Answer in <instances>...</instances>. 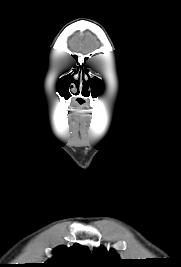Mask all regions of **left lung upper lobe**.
Wrapping results in <instances>:
<instances>
[{"mask_svg": "<svg viewBox=\"0 0 181 267\" xmlns=\"http://www.w3.org/2000/svg\"><path fill=\"white\" fill-rule=\"evenodd\" d=\"M93 255L97 267H124L128 264L116 255L114 249L107 251L103 246L94 249Z\"/></svg>", "mask_w": 181, "mask_h": 267, "instance_id": "5c2ea615", "label": "left lung upper lobe"}]
</instances>
